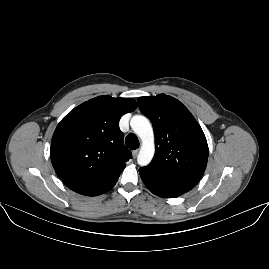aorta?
<instances>
[{
    "instance_id": "aorta-1",
    "label": "aorta",
    "mask_w": 269,
    "mask_h": 269,
    "mask_svg": "<svg viewBox=\"0 0 269 269\" xmlns=\"http://www.w3.org/2000/svg\"><path fill=\"white\" fill-rule=\"evenodd\" d=\"M133 131L142 141L140 151L137 155V162L140 166H147L153 159L154 133L150 121L142 115H135L130 120Z\"/></svg>"
}]
</instances>
